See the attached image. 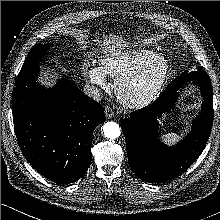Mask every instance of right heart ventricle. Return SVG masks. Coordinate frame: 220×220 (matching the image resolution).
I'll return each mask as SVG.
<instances>
[{
  "label": "right heart ventricle",
  "mask_w": 220,
  "mask_h": 220,
  "mask_svg": "<svg viewBox=\"0 0 220 220\" xmlns=\"http://www.w3.org/2000/svg\"><path fill=\"white\" fill-rule=\"evenodd\" d=\"M151 53L153 50L145 47L111 52L100 59L99 67L106 76L119 78Z\"/></svg>",
  "instance_id": "e07e8e85"
}]
</instances>
